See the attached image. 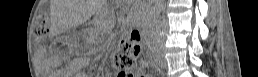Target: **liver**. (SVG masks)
Here are the masks:
<instances>
[{
  "instance_id": "obj_1",
  "label": "liver",
  "mask_w": 258,
  "mask_h": 77,
  "mask_svg": "<svg viewBox=\"0 0 258 77\" xmlns=\"http://www.w3.org/2000/svg\"><path fill=\"white\" fill-rule=\"evenodd\" d=\"M56 2V1H55ZM59 9L54 11L60 15V19L71 26L76 23V1L75 0H62Z\"/></svg>"
}]
</instances>
